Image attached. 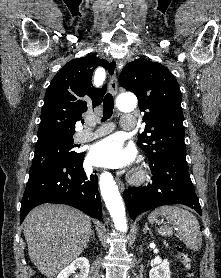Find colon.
Listing matches in <instances>:
<instances>
[{
    "instance_id": "5ec220e1",
    "label": "colon",
    "mask_w": 221,
    "mask_h": 278,
    "mask_svg": "<svg viewBox=\"0 0 221 278\" xmlns=\"http://www.w3.org/2000/svg\"><path fill=\"white\" fill-rule=\"evenodd\" d=\"M176 253L182 264L184 265L185 269L187 270L186 278H193V260L192 258L185 252L182 247L176 248Z\"/></svg>"
}]
</instances>
